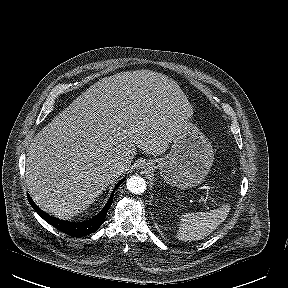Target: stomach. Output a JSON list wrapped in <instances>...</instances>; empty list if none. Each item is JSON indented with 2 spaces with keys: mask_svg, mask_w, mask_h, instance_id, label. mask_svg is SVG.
Masks as SVG:
<instances>
[{
  "mask_svg": "<svg viewBox=\"0 0 288 288\" xmlns=\"http://www.w3.org/2000/svg\"><path fill=\"white\" fill-rule=\"evenodd\" d=\"M214 159L211 142L194 125L188 123L173 139L170 152L145 162L149 172L159 169L162 179L180 189L201 184Z\"/></svg>",
  "mask_w": 288,
  "mask_h": 288,
  "instance_id": "0dacf381",
  "label": "stomach"
}]
</instances>
